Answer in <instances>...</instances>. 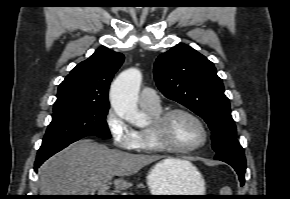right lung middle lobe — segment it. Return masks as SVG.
Listing matches in <instances>:
<instances>
[{
    "label": "right lung middle lobe",
    "instance_id": "1",
    "mask_svg": "<svg viewBox=\"0 0 290 199\" xmlns=\"http://www.w3.org/2000/svg\"><path fill=\"white\" fill-rule=\"evenodd\" d=\"M108 109L109 104H70L54 108L39 150L68 145L91 135L109 139L105 121Z\"/></svg>",
    "mask_w": 290,
    "mask_h": 199
}]
</instances>
